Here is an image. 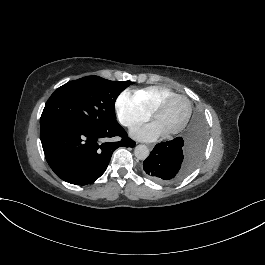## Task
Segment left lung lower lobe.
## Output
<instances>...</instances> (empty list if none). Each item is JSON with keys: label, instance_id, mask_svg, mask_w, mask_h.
I'll list each match as a JSON object with an SVG mask.
<instances>
[{"label": "left lung lower lobe", "instance_id": "left-lung-lower-lobe-1", "mask_svg": "<svg viewBox=\"0 0 265 265\" xmlns=\"http://www.w3.org/2000/svg\"><path fill=\"white\" fill-rule=\"evenodd\" d=\"M206 143V128L201 114L196 113L182 136L157 144L143 169L147 176L162 184L174 183L188 175L199 163Z\"/></svg>", "mask_w": 265, "mask_h": 265}]
</instances>
